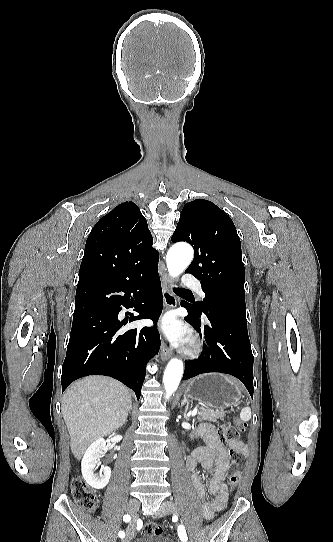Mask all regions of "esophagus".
<instances>
[{"mask_svg":"<svg viewBox=\"0 0 333 542\" xmlns=\"http://www.w3.org/2000/svg\"><path fill=\"white\" fill-rule=\"evenodd\" d=\"M162 294L166 309H172L177 307V300L171 291V280L167 273H163L162 276ZM172 356V351L168 348L165 341L161 343V360L167 361Z\"/></svg>","mask_w":333,"mask_h":542,"instance_id":"1","label":"esophagus"}]
</instances>
